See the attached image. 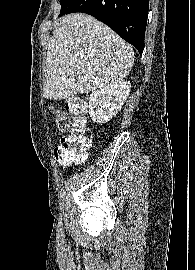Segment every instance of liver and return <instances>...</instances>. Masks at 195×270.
I'll return each mask as SVG.
<instances>
[{"instance_id":"1","label":"liver","mask_w":195,"mask_h":270,"mask_svg":"<svg viewBox=\"0 0 195 270\" xmlns=\"http://www.w3.org/2000/svg\"><path fill=\"white\" fill-rule=\"evenodd\" d=\"M133 62L132 46L108 26L84 13L66 15L48 44L43 95L61 100L118 83Z\"/></svg>"}]
</instances>
